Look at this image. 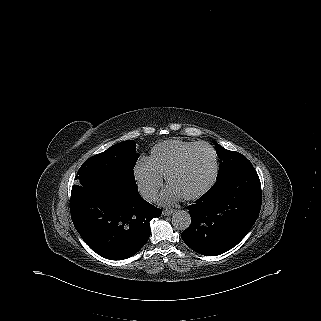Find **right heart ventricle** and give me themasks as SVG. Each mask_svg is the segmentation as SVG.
Segmentation results:
<instances>
[{"label": "right heart ventricle", "mask_w": 321, "mask_h": 321, "mask_svg": "<svg viewBox=\"0 0 321 321\" xmlns=\"http://www.w3.org/2000/svg\"><path fill=\"white\" fill-rule=\"evenodd\" d=\"M196 144L182 140L162 141L153 146L147 159L153 170L163 177Z\"/></svg>", "instance_id": "1"}]
</instances>
